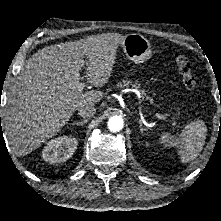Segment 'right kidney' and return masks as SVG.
Returning <instances> with one entry per match:
<instances>
[{"instance_id":"obj_1","label":"right kidney","mask_w":221,"mask_h":221,"mask_svg":"<svg viewBox=\"0 0 221 221\" xmlns=\"http://www.w3.org/2000/svg\"><path fill=\"white\" fill-rule=\"evenodd\" d=\"M76 138L62 136L47 143L42 152V158L50 163H61L68 160L77 148Z\"/></svg>"}]
</instances>
